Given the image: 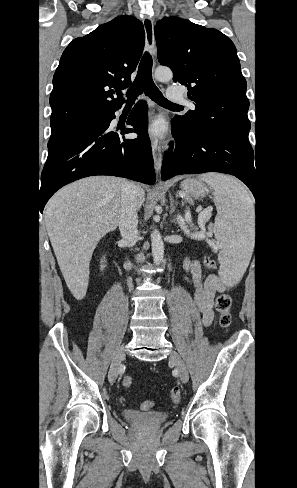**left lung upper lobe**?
<instances>
[{"instance_id": "left-lung-upper-lobe-1", "label": "left lung upper lobe", "mask_w": 297, "mask_h": 488, "mask_svg": "<svg viewBox=\"0 0 297 488\" xmlns=\"http://www.w3.org/2000/svg\"><path fill=\"white\" fill-rule=\"evenodd\" d=\"M154 33L158 60L188 87L195 110L175 116L185 132L214 133L249 144L247 83L233 42L216 29L163 18Z\"/></svg>"}]
</instances>
